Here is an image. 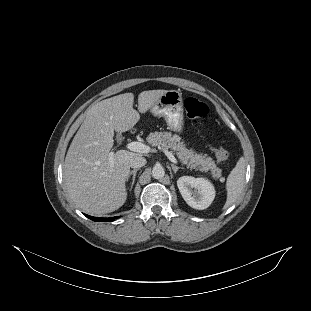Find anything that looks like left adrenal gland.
<instances>
[{"label":"left adrenal gland","instance_id":"1","mask_svg":"<svg viewBox=\"0 0 311 311\" xmlns=\"http://www.w3.org/2000/svg\"><path fill=\"white\" fill-rule=\"evenodd\" d=\"M171 167H172V170H173L174 173H176L179 169H183V167H178V166H176L174 164H171Z\"/></svg>","mask_w":311,"mask_h":311}]
</instances>
